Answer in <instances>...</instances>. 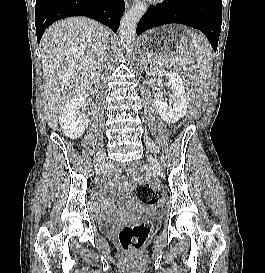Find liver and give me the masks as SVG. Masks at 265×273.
<instances>
[{"label":"liver","mask_w":265,"mask_h":273,"mask_svg":"<svg viewBox=\"0 0 265 273\" xmlns=\"http://www.w3.org/2000/svg\"><path fill=\"white\" fill-rule=\"evenodd\" d=\"M108 37L103 25L86 17L60 20L44 33L40 43L43 104L53 130L65 105L98 76Z\"/></svg>","instance_id":"6515ba94"}]
</instances>
